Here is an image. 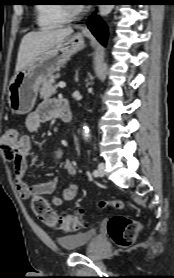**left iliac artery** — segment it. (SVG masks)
Listing matches in <instances>:
<instances>
[{"label": "left iliac artery", "instance_id": "1", "mask_svg": "<svg viewBox=\"0 0 174 278\" xmlns=\"http://www.w3.org/2000/svg\"><path fill=\"white\" fill-rule=\"evenodd\" d=\"M93 175H94V176H98V171H97V170H94V171H93Z\"/></svg>", "mask_w": 174, "mask_h": 278}]
</instances>
